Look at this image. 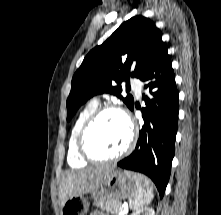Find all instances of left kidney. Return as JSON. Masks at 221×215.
<instances>
[{
    "label": "left kidney",
    "instance_id": "left-kidney-1",
    "mask_svg": "<svg viewBox=\"0 0 221 215\" xmlns=\"http://www.w3.org/2000/svg\"><path fill=\"white\" fill-rule=\"evenodd\" d=\"M131 215H155V211L153 208L146 207L133 212Z\"/></svg>",
    "mask_w": 221,
    "mask_h": 215
}]
</instances>
